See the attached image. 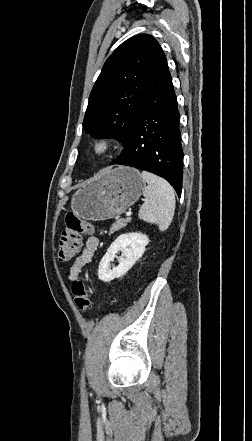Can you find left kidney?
Returning <instances> with one entry per match:
<instances>
[{"instance_id": "1", "label": "left kidney", "mask_w": 252, "mask_h": 441, "mask_svg": "<svg viewBox=\"0 0 252 441\" xmlns=\"http://www.w3.org/2000/svg\"><path fill=\"white\" fill-rule=\"evenodd\" d=\"M148 243L149 238L142 233H127L118 236L100 261L99 279L103 282H110L125 275L143 255ZM119 251L122 253L121 257L118 258L119 265L110 269V262L114 260Z\"/></svg>"}]
</instances>
